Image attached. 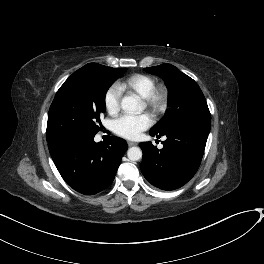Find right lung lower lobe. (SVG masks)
<instances>
[{
  "mask_svg": "<svg viewBox=\"0 0 264 264\" xmlns=\"http://www.w3.org/2000/svg\"><path fill=\"white\" fill-rule=\"evenodd\" d=\"M51 157L66 183L79 193L92 195L113 182L127 143L111 137L107 144L93 137H69L48 143Z\"/></svg>",
  "mask_w": 264,
  "mask_h": 264,
  "instance_id": "1",
  "label": "right lung lower lobe"
}]
</instances>
